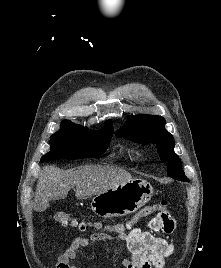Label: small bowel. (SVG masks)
I'll use <instances>...</instances> for the list:
<instances>
[{"label":"small bowel","mask_w":221,"mask_h":268,"mask_svg":"<svg viewBox=\"0 0 221 268\" xmlns=\"http://www.w3.org/2000/svg\"><path fill=\"white\" fill-rule=\"evenodd\" d=\"M176 221L170 214L157 215L148 222V230L133 228L128 231L105 228L88 237L76 238L64 251L57 255L56 268H81L74 261L81 249L99 241H116L128 252L129 257L121 260L123 268H165V258L174 253V245L157 237L155 233H172ZM113 234H112V233Z\"/></svg>","instance_id":"obj_1"}]
</instances>
